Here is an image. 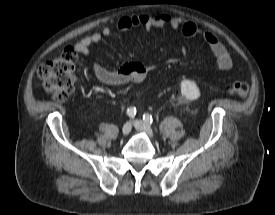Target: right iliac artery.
I'll use <instances>...</instances> for the list:
<instances>
[{
  "instance_id": "1",
  "label": "right iliac artery",
  "mask_w": 275,
  "mask_h": 215,
  "mask_svg": "<svg viewBox=\"0 0 275 215\" xmlns=\"http://www.w3.org/2000/svg\"><path fill=\"white\" fill-rule=\"evenodd\" d=\"M127 115L129 117H134L136 115V108L135 107H130L127 109Z\"/></svg>"
}]
</instances>
